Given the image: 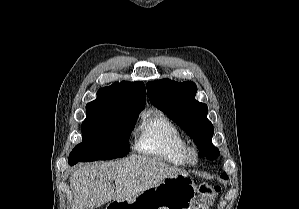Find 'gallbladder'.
<instances>
[{"label": "gallbladder", "mask_w": 299, "mask_h": 209, "mask_svg": "<svg viewBox=\"0 0 299 209\" xmlns=\"http://www.w3.org/2000/svg\"><path fill=\"white\" fill-rule=\"evenodd\" d=\"M84 209H90V208H88V207H85Z\"/></svg>", "instance_id": "obj_1"}]
</instances>
